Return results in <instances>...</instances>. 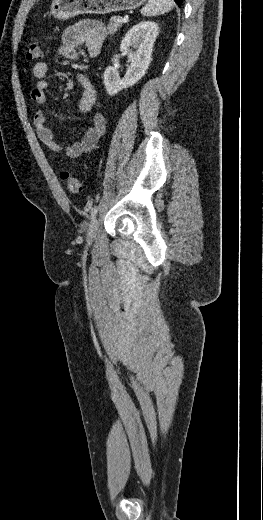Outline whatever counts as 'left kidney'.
<instances>
[{"instance_id":"1","label":"left kidney","mask_w":263,"mask_h":520,"mask_svg":"<svg viewBox=\"0 0 263 520\" xmlns=\"http://www.w3.org/2000/svg\"><path fill=\"white\" fill-rule=\"evenodd\" d=\"M157 35L158 25L151 21L140 22L126 33L120 51L128 56L130 66L122 79L116 68L108 67L105 70L104 85L109 95H115L122 89L133 86L145 75L152 60Z\"/></svg>"}]
</instances>
